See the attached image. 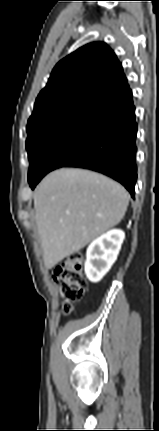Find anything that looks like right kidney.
Segmentation results:
<instances>
[{"instance_id": "right-kidney-1", "label": "right kidney", "mask_w": 159, "mask_h": 431, "mask_svg": "<svg viewBox=\"0 0 159 431\" xmlns=\"http://www.w3.org/2000/svg\"><path fill=\"white\" fill-rule=\"evenodd\" d=\"M124 237L122 230L113 229L88 246L85 273L89 281L97 283L107 274L117 259Z\"/></svg>"}]
</instances>
